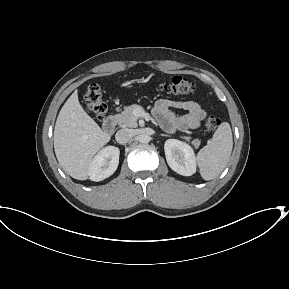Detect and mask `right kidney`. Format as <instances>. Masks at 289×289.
Listing matches in <instances>:
<instances>
[{"label":"right kidney","mask_w":289,"mask_h":289,"mask_svg":"<svg viewBox=\"0 0 289 289\" xmlns=\"http://www.w3.org/2000/svg\"><path fill=\"white\" fill-rule=\"evenodd\" d=\"M120 150L107 146L100 150L89 166V177L92 181H102L111 176L119 164Z\"/></svg>","instance_id":"obj_1"}]
</instances>
